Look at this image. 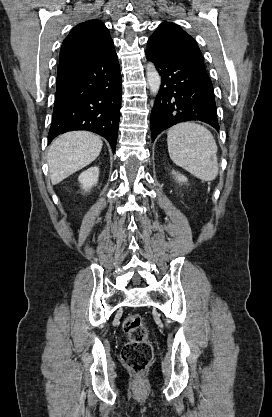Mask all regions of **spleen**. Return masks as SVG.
I'll list each match as a JSON object with an SVG mask.
<instances>
[{
  "instance_id": "obj_1",
  "label": "spleen",
  "mask_w": 272,
  "mask_h": 417,
  "mask_svg": "<svg viewBox=\"0 0 272 417\" xmlns=\"http://www.w3.org/2000/svg\"><path fill=\"white\" fill-rule=\"evenodd\" d=\"M167 145L169 156L176 165L203 181L217 177V144L204 126L184 122L171 127Z\"/></svg>"
}]
</instances>
